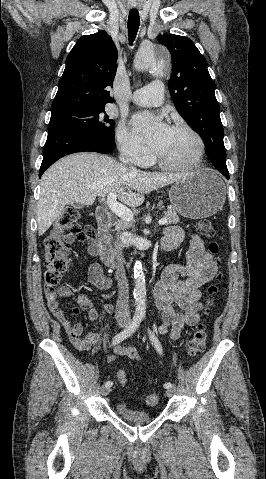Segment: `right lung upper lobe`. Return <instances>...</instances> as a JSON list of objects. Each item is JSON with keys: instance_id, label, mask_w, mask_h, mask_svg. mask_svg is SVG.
<instances>
[{"instance_id": "obj_1", "label": "right lung upper lobe", "mask_w": 266, "mask_h": 479, "mask_svg": "<svg viewBox=\"0 0 266 479\" xmlns=\"http://www.w3.org/2000/svg\"><path fill=\"white\" fill-rule=\"evenodd\" d=\"M117 49L105 32L82 36L66 58L51 112L75 108H101L112 103L106 87L116 75Z\"/></svg>"}]
</instances>
